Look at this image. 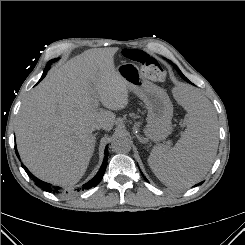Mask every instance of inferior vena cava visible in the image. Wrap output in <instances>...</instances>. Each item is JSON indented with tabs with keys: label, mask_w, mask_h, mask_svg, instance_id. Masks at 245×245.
Here are the masks:
<instances>
[{
	"label": "inferior vena cava",
	"mask_w": 245,
	"mask_h": 245,
	"mask_svg": "<svg viewBox=\"0 0 245 245\" xmlns=\"http://www.w3.org/2000/svg\"><path fill=\"white\" fill-rule=\"evenodd\" d=\"M104 129L105 127H104V125L103 124H96L95 126H94V129Z\"/></svg>",
	"instance_id": "inferior-vena-cava-1"
}]
</instances>
